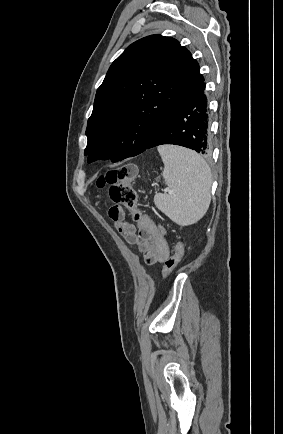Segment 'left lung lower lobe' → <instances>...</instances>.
<instances>
[{
    "label": "left lung lower lobe",
    "instance_id": "0a47b994",
    "mask_svg": "<svg viewBox=\"0 0 283 434\" xmlns=\"http://www.w3.org/2000/svg\"><path fill=\"white\" fill-rule=\"evenodd\" d=\"M205 88L206 83L203 81L182 97L145 150L163 144H174L198 153H210L209 104Z\"/></svg>",
    "mask_w": 283,
    "mask_h": 434
}]
</instances>
